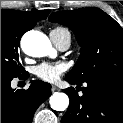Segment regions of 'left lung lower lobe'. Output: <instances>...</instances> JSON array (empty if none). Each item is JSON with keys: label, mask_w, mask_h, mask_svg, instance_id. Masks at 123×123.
<instances>
[{"label": "left lung lower lobe", "mask_w": 123, "mask_h": 123, "mask_svg": "<svg viewBox=\"0 0 123 123\" xmlns=\"http://www.w3.org/2000/svg\"><path fill=\"white\" fill-rule=\"evenodd\" d=\"M65 80L72 85L85 82L87 86L82 88V96L73 87L64 90L70 104L61 123H123V75H104L83 82L66 76Z\"/></svg>", "instance_id": "obj_1"}]
</instances>
